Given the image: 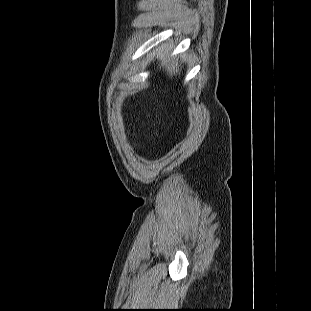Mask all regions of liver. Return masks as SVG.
Instances as JSON below:
<instances>
[{"label": "liver", "mask_w": 311, "mask_h": 311, "mask_svg": "<svg viewBox=\"0 0 311 311\" xmlns=\"http://www.w3.org/2000/svg\"><path fill=\"white\" fill-rule=\"evenodd\" d=\"M163 65H165V68L167 70V72H169L171 75L175 72H178V63H175V62H170V60H165V57H163Z\"/></svg>", "instance_id": "1"}]
</instances>
